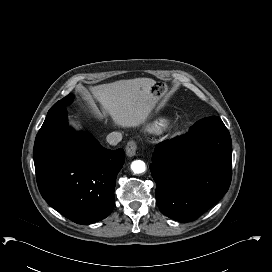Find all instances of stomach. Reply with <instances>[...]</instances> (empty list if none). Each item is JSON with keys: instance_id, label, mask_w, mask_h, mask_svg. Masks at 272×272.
I'll return each instance as SVG.
<instances>
[{"instance_id": "0dacf381", "label": "stomach", "mask_w": 272, "mask_h": 272, "mask_svg": "<svg viewBox=\"0 0 272 272\" xmlns=\"http://www.w3.org/2000/svg\"><path fill=\"white\" fill-rule=\"evenodd\" d=\"M150 91L153 105H158L165 100L167 93L166 85L154 82Z\"/></svg>"}]
</instances>
